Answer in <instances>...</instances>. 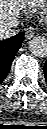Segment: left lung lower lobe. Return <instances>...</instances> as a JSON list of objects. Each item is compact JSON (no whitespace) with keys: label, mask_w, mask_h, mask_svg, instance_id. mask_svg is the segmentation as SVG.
<instances>
[{"label":"left lung lower lobe","mask_w":47,"mask_h":129,"mask_svg":"<svg viewBox=\"0 0 47 129\" xmlns=\"http://www.w3.org/2000/svg\"><path fill=\"white\" fill-rule=\"evenodd\" d=\"M44 75H45V78H46V81H47V61L44 65Z\"/></svg>","instance_id":"obj_1"}]
</instances>
